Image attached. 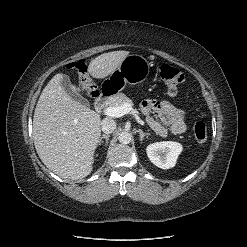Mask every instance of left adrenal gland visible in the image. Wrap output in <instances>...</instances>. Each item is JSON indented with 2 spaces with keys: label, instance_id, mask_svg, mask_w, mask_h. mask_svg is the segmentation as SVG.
I'll list each match as a JSON object with an SVG mask.
<instances>
[{
  "label": "left adrenal gland",
  "instance_id": "a2214340",
  "mask_svg": "<svg viewBox=\"0 0 247 247\" xmlns=\"http://www.w3.org/2000/svg\"><path fill=\"white\" fill-rule=\"evenodd\" d=\"M137 132L139 133L140 141H143V138L145 136L148 137V135H149V133H144L142 130H138Z\"/></svg>",
  "mask_w": 247,
  "mask_h": 247
}]
</instances>
